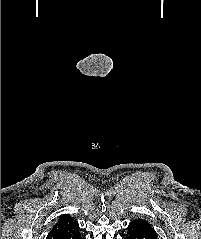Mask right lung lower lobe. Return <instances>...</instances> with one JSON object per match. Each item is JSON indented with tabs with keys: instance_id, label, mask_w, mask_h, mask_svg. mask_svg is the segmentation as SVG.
<instances>
[{
	"instance_id": "obj_1",
	"label": "right lung lower lobe",
	"mask_w": 201,
	"mask_h": 239,
	"mask_svg": "<svg viewBox=\"0 0 201 239\" xmlns=\"http://www.w3.org/2000/svg\"><path fill=\"white\" fill-rule=\"evenodd\" d=\"M78 238H79V239H83V238H82V236H81V234L79 235V237H78Z\"/></svg>"
}]
</instances>
